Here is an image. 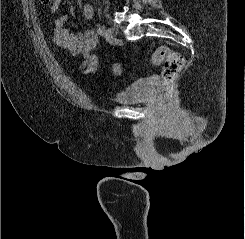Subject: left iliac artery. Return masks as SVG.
<instances>
[{"label":"left iliac artery","mask_w":245,"mask_h":239,"mask_svg":"<svg viewBox=\"0 0 245 239\" xmlns=\"http://www.w3.org/2000/svg\"><path fill=\"white\" fill-rule=\"evenodd\" d=\"M97 32L101 36L104 35L105 34V26L104 25H99Z\"/></svg>","instance_id":"1"}]
</instances>
